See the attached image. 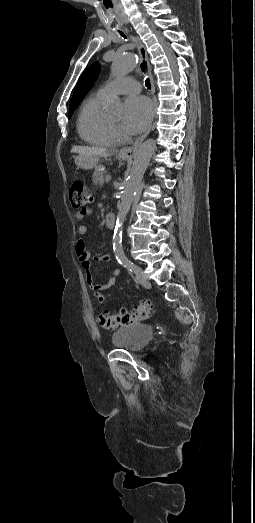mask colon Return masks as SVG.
Here are the masks:
<instances>
[{
  "instance_id": "obj_1",
  "label": "colon",
  "mask_w": 255,
  "mask_h": 523,
  "mask_svg": "<svg viewBox=\"0 0 255 523\" xmlns=\"http://www.w3.org/2000/svg\"><path fill=\"white\" fill-rule=\"evenodd\" d=\"M69 200L73 208L83 209L86 206L88 196L82 182L74 181L72 183L69 190ZM97 298L99 301L104 300V297L101 294H97ZM152 310L151 303L143 301L134 312L122 311L117 314L101 313L98 317V321L103 328L111 330L120 326L145 321L151 317Z\"/></svg>"
}]
</instances>
